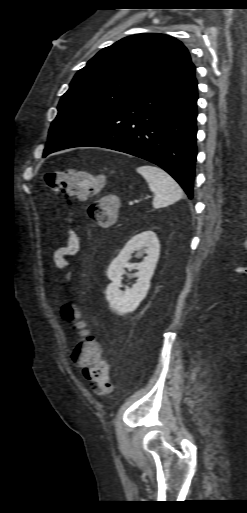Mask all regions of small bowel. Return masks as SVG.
<instances>
[{"instance_id": "small-bowel-1", "label": "small bowel", "mask_w": 247, "mask_h": 513, "mask_svg": "<svg viewBox=\"0 0 247 513\" xmlns=\"http://www.w3.org/2000/svg\"><path fill=\"white\" fill-rule=\"evenodd\" d=\"M80 249V238L74 229H70L66 234L65 242L57 245L53 250V264L63 274L65 280L70 278L68 259L77 255ZM71 362L74 364V361L71 360Z\"/></svg>"}]
</instances>
